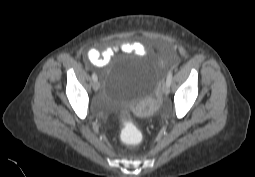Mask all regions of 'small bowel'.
Returning a JSON list of instances; mask_svg holds the SVG:
<instances>
[{
	"label": "small bowel",
	"instance_id": "obj_1",
	"mask_svg": "<svg viewBox=\"0 0 255 177\" xmlns=\"http://www.w3.org/2000/svg\"><path fill=\"white\" fill-rule=\"evenodd\" d=\"M134 52L142 54L145 52L144 46L131 38H122L114 41L103 51L92 48L87 52V60L94 66L106 67L110 64L117 52Z\"/></svg>",
	"mask_w": 255,
	"mask_h": 177
}]
</instances>
